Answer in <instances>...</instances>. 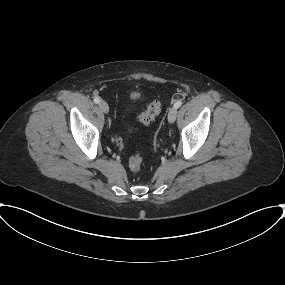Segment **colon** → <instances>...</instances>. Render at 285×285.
<instances>
[{"mask_svg":"<svg viewBox=\"0 0 285 285\" xmlns=\"http://www.w3.org/2000/svg\"><path fill=\"white\" fill-rule=\"evenodd\" d=\"M161 101L159 99H155L152 102L149 103L147 109L145 112H143L141 115H139L138 120L143 124H149L151 123L157 115L161 111ZM129 168L133 172L140 171L142 167V156L141 154H134L130 157L128 162Z\"/></svg>","mask_w":285,"mask_h":285,"instance_id":"5ec220e1","label":"colon"}]
</instances>
